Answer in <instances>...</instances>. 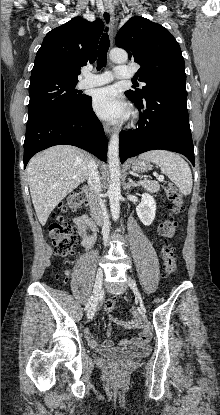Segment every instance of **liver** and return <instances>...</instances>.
Here are the masks:
<instances>
[{"label": "liver", "instance_id": "obj_1", "mask_svg": "<svg viewBox=\"0 0 220 415\" xmlns=\"http://www.w3.org/2000/svg\"><path fill=\"white\" fill-rule=\"evenodd\" d=\"M90 155L77 147L57 145L28 163L27 179L37 218L45 225L59 202L88 178Z\"/></svg>", "mask_w": 220, "mask_h": 415}]
</instances>
